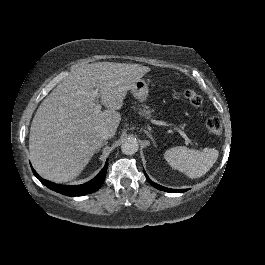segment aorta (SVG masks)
I'll return each mask as SVG.
<instances>
[{
	"label": "aorta",
	"instance_id": "1",
	"mask_svg": "<svg viewBox=\"0 0 265 265\" xmlns=\"http://www.w3.org/2000/svg\"><path fill=\"white\" fill-rule=\"evenodd\" d=\"M139 143L135 138H128L122 141L121 150L125 154H134L138 151Z\"/></svg>",
	"mask_w": 265,
	"mask_h": 265
}]
</instances>
